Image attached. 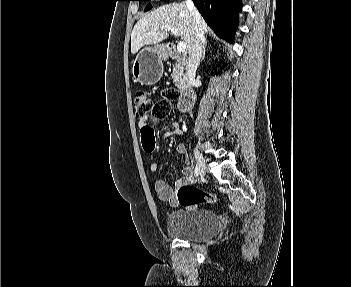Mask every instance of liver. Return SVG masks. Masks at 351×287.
<instances>
[{"label":"liver","mask_w":351,"mask_h":287,"mask_svg":"<svg viewBox=\"0 0 351 287\" xmlns=\"http://www.w3.org/2000/svg\"><path fill=\"white\" fill-rule=\"evenodd\" d=\"M201 25L207 33L209 28L202 18ZM164 26L179 31L190 53L195 40V25L184 2L163 5L139 19L131 33V53L135 54L145 45H155L167 39L168 32L161 30Z\"/></svg>","instance_id":"obj_1"}]
</instances>
